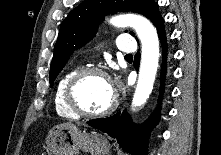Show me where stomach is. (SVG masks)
I'll return each instance as SVG.
<instances>
[{
	"label": "stomach",
	"mask_w": 221,
	"mask_h": 155,
	"mask_svg": "<svg viewBox=\"0 0 221 155\" xmlns=\"http://www.w3.org/2000/svg\"><path fill=\"white\" fill-rule=\"evenodd\" d=\"M45 149L48 155H78L80 150L91 155H108L111 145L98 132L82 131L73 124L65 123L50 130Z\"/></svg>",
	"instance_id": "0dacf381"
}]
</instances>
